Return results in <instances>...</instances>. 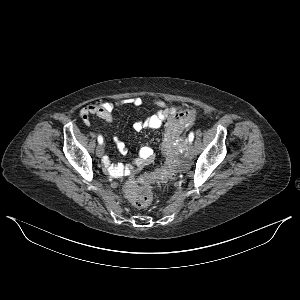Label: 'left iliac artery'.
Returning a JSON list of instances; mask_svg holds the SVG:
<instances>
[{"instance_id": "44dca946", "label": "left iliac artery", "mask_w": 300, "mask_h": 300, "mask_svg": "<svg viewBox=\"0 0 300 300\" xmlns=\"http://www.w3.org/2000/svg\"><path fill=\"white\" fill-rule=\"evenodd\" d=\"M188 138H189V142H192L193 139H194V133H193V132H190Z\"/></svg>"}]
</instances>
